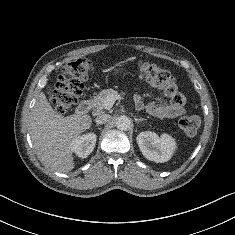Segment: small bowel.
I'll return each mask as SVG.
<instances>
[{
	"instance_id": "small-bowel-1",
	"label": "small bowel",
	"mask_w": 235,
	"mask_h": 235,
	"mask_svg": "<svg viewBox=\"0 0 235 235\" xmlns=\"http://www.w3.org/2000/svg\"><path fill=\"white\" fill-rule=\"evenodd\" d=\"M134 102L137 109H146L149 114L158 118H176L185 112L183 106L174 104L158 102H149L145 104L142 97L138 94L134 96Z\"/></svg>"
}]
</instances>
